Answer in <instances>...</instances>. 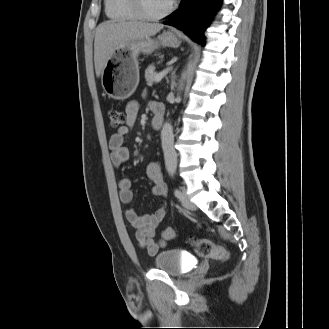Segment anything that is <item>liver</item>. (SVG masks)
<instances>
[{
    "mask_svg": "<svg viewBox=\"0 0 329 329\" xmlns=\"http://www.w3.org/2000/svg\"><path fill=\"white\" fill-rule=\"evenodd\" d=\"M163 25L137 21L101 23L95 33L94 63L96 76L100 77L106 62L113 56L116 47L128 41L149 38L157 34Z\"/></svg>",
    "mask_w": 329,
    "mask_h": 329,
    "instance_id": "6515ba94",
    "label": "liver"
}]
</instances>
